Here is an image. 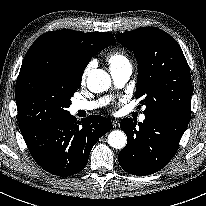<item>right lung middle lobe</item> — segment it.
<instances>
[{
  "mask_svg": "<svg viewBox=\"0 0 206 206\" xmlns=\"http://www.w3.org/2000/svg\"><path fill=\"white\" fill-rule=\"evenodd\" d=\"M83 71L58 47L36 49L20 71L15 95L20 130L56 121L69 114L71 97Z\"/></svg>",
  "mask_w": 206,
  "mask_h": 206,
  "instance_id": "dd1d6c3e",
  "label": "right lung middle lobe"
}]
</instances>
